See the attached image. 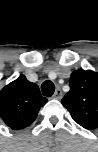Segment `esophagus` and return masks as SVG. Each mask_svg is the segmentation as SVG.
<instances>
[{
	"label": "esophagus",
	"instance_id": "esophagus-1",
	"mask_svg": "<svg viewBox=\"0 0 98 152\" xmlns=\"http://www.w3.org/2000/svg\"><path fill=\"white\" fill-rule=\"evenodd\" d=\"M61 97H62V91H61L60 88H57L56 91H55V93H54V95H53V98L59 100V99H61Z\"/></svg>",
	"mask_w": 98,
	"mask_h": 152
}]
</instances>
